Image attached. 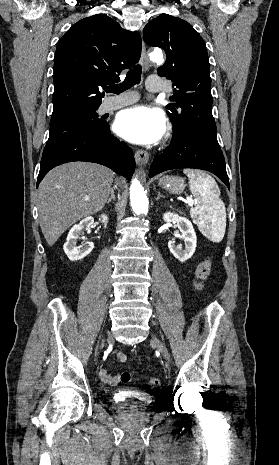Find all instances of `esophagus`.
Masks as SVG:
<instances>
[{
    "mask_svg": "<svg viewBox=\"0 0 279 465\" xmlns=\"http://www.w3.org/2000/svg\"><path fill=\"white\" fill-rule=\"evenodd\" d=\"M140 62L142 64L144 70L149 69L150 63H149L148 55H147V52H146L145 43H144L143 40H142ZM135 161H136V164L139 165V166L147 165V163L149 161V153L147 151H145V150H137L136 153H135Z\"/></svg>",
    "mask_w": 279,
    "mask_h": 465,
    "instance_id": "obj_1",
    "label": "esophagus"
}]
</instances>
